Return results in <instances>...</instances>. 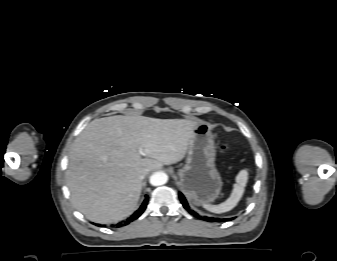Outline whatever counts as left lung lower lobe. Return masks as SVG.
Here are the masks:
<instances>
[{
  "label": "left lung lower lobe",
  "instance_id": "0a47b994",
  "mask_svg": "<svg viewBox=\"0 0 337 261\" xmlns=\"http://www.w3.org/2000/svg\"><path fill=\"white\" fill-rule=\"evenodd\" d=\"M179 198H180L181 203H182V205L184 206V208H185L190 214L194 215L195 217H201V216H199L195 211H193V210L189 207V205H188V203H187V201H186V199H185V197L183 196L182 193H179ZM201 218H202L203 220H206V221H209V222L219 221V219H216V218H213V217H206V216H204V217H201ZM224 220L227 221V220H229V219H224Z\"/></svg>",
  "mask_w": 337,
  "mask_h": 261
}]
</instances>
